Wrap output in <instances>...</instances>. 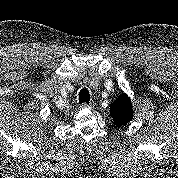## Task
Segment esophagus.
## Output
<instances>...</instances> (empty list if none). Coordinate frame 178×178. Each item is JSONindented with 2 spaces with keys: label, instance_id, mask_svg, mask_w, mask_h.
<instances>
[{
  "label": "esophagus",
  "instance_id": "esophagus-1",
  "mask_svg": "<svg viewBox=\"0 0 178 178\" xmlns=\"http://www.w3.org/2000/svg\"><path fill=\"white\" fill-rule=\"evenodd\" d=\"M92 106H93V104H87V103H82L81 105H80V108L81 109H87V108H92Z\"/></svg>",
  "mask_w": 178,
  "mask_h": 178
}]
</instances>
